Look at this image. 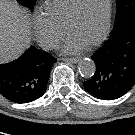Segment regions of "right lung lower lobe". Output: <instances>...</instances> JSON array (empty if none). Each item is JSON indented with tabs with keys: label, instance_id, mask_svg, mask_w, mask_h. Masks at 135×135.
I'll use <instances>...</instances> for the list:
<instances>
[{
	"label": "right lung lower lobe",
	"instance_id": "1",
	"mask_svg": "<svg viewBox=\"0 0 135 135\" xmlns=\"http://www.w3.org/2000/svg\"><path fill=\"white\" fill-rule=\"evenodd\" d=\"M55 62V57L31 47L19 59L0 65V94L15 103L38 99L45 93Z\"/></svg>",
	"mask_w": 135,
	"mask_h": 135
}]
</instances>
